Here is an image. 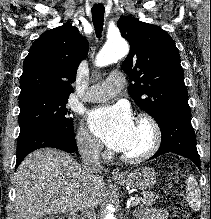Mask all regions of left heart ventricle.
<instances>
[{
  "label": "left heart ventricle",
  "instance_id": "left-heart-ventricle-1",
  "mask_svg": "<svg viewBox=\"0 0 211 219\" xmlns=\"http://www.w3.org/2000/svg\"><path fill=\"white\" fill-rule=\"evenodd\" d=\"M150 142V132L146 126L137 124L133 141L124 153L135 154L144 150Z\"/></svg>",
  "mask_w": 211,
  "mask_h": 219
}]
</instances>
